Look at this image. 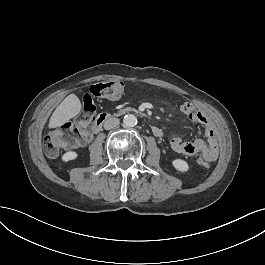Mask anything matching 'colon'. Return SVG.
Returning <instances> with one entry per match:
<instances>
[{"mask_svg":"<svg viewBox=\"0 0 265 265\" xmlns=\"http://www.w3.org/2000/svg\"><path fill=\"white\" fill-rule=\"evenodd\" d=\"M126 84L122 80H110L96 82L90 88L86 100L83 102L84 110L75 119V122H67L62 126L52 130L44 139V150L50 157H55L60 153V147L63 144L76 143L80 138L78 132L74 128V123L82 124L89 118L86 116L89 112H94L96 105L93 98H105L109 100H117L121 98L126 91ZM200 166H208L210 161H205L204 156H200L196 160Z\"/></svg>","mask_w":265,"mask_h":265,"instance_id":"colon-1","label":"colon"}]
</instances>
